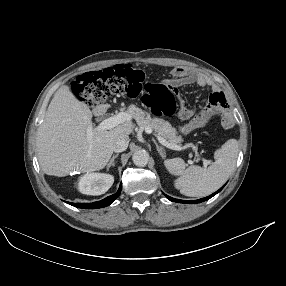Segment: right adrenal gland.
Here are the masks:
<instances>
[{"mask_svg": "<svg viewBox=\"0 0 286 286\" xmlns=\"http://www.w3.org/2000/svg\"><path fill=\"white\" fill-rule=\"evenodd\" d=\"M118 155H119V154L117 153V154H115V155L112 156L110 162H109L108 165H107V170H109V168H110L111 166H114V165H115L114 160H115V158L118 157Z\"/></svg>", "mask_w": 286, "mask_h": 286, "instance_id": "2a0ac1e0", "label": "right adrenal gland"}]
</instances>
